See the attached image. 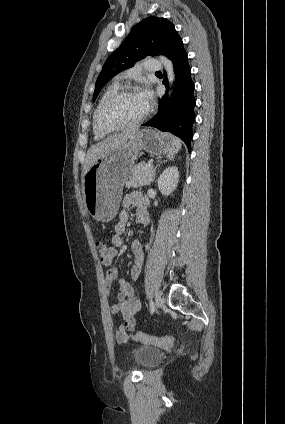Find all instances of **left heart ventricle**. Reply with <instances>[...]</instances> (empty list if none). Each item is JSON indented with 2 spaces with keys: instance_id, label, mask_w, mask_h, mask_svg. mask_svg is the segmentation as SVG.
I'll return each mask as SVG.
<instances>
[{
  "instance_id": "obj_1",
  "label": "left heart ventricle",
  "mask_w": 285,
  "mask_h": 424,
  "mask_svg": "<svg viewBox=\"0 0 285 424\" xmlns=\"http://www.w3.org/2000/svg\"><path fill=\"white\" fill-rule=\"evenodd\" d=\"M147 111L139 93L120 98L110 105L103 115L107 124H122L136 120Z\"/></svg>"
}]
</instances>
